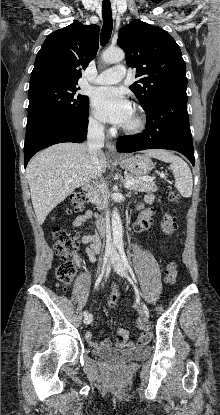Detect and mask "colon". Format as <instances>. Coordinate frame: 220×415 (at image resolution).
<instances>
[{
    "label": "colon",
    "instance_id": "obj_1",
    "mask_svg": "<svg viewBox=\"0 0 220 415\" xmlns=\"http://www.w3.org/2000/svg\"><path fill=\"white\" fill-rule=\"evenodd\" d=\"M170 199L175 201L177 195L174 192L170 193ZM88 202L87 194L84 191H75L70 195V206L68 212H79L84 209ZM153 209L148 208L145 215H152ZM176 220L171 215H165L161 221V231L166 235H171L176 229ZM52 236L55 241L54 247L61 258V263L56 269V277L63 287H67L73 280L76 265L73 260L74 255L79 247L78 233L75 230L67 231L65 229L55 227L52 231ZM178 277V270L174 262L167 264L165 268V281L168 284H174ZM120 299L117 292H113L108 299V306L114 308ZM150 338L148 332L143 333L142 339Z\"/></svg>",
    "mask_w": 220,
    "mask_h": 415
}]
</instances>
